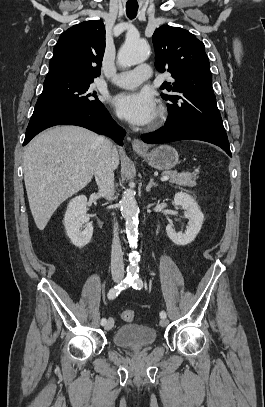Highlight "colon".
I'll use <instances>...</instances> for the list:
<instances>
[{
	"mask_svg": "<svg viewBox=\"0 0 265 407\" xmlns=\"http://www.w3.org/2000/svg\"><path fill=\"white\" fill-rule=\"evenodd\" d=\"M135 317V312L131 309H125L122 312V319L126 322L134 321Z\"/></svg>",
	"mask_w": 265,
	"mask_h": 407,
	"instance_id": "colon-1",
	"label": "colon"
}]
</instances>
